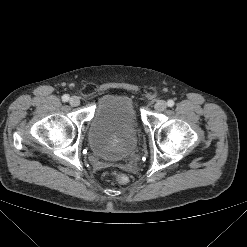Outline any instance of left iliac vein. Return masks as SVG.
I'll use <instances>...</instances> for the list:
<instances>
[{
  "instance_id": "1",
  "label": "left iliac vein",
  "mask_w": 247,
  "mask_h": 247,
  "mask_svg": "<svg viewBox=\"0 0 247 247\" xmlns=\"http://www.w3.org/2000/svg\"><path fill=\"white\" fill-rule=\"evenodd\" d=\"M167 107V104L163 100H159L155 103L154 108L156 111H164Z\"/></svg>"
}]
</instances>
